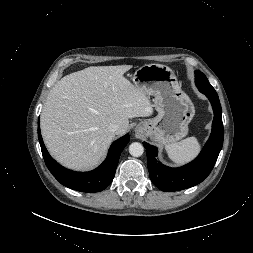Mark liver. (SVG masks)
I'll list each match as a JSON object with an SVG mask.
<instances>
[{"label":"liver","mask_w":253,"mask_h":253,"mask_svg":"<svg viewBox=\"0 0 253 253\" xmlns=\"http://www.w3.org/2000/svg\"><path fill=\"white\" fill-rule=\"evenodd\" d=\"M132 65L91 66L59 80L43 106L40 125L49 153L62 165L90 169L103 158L129 118L153 112L149 97L123 75ZM118 124L117 133L109 131Z\"/></svg>","instance_id":"liver-1"}]
</instances>
